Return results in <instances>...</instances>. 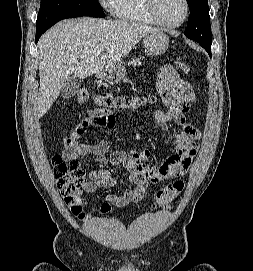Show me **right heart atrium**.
<instances>
[{
	"mask_svg": "<svg viewBox=\"0 0 253 271\" xmlns=\"http://www.w3.org/2000/svg\"><path fill=\"white\" fill-rule=\"evenodd\" d=\"M102 6L107 10H113L117 0H99Z\"/></svg>",
	"mask_w": 253,
	"mask_h": 271,
	"instance_id": "1",
	"label": "right heart atrium"
}]
</instances>
